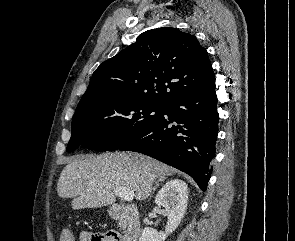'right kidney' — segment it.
<instances>
[{
  "label": "right kidney",
  "mask_w": 295,
  "mask_h": 241,
  "mask_svg": "<svg viewBox=\"0 0 295 241\" xmlns=\"http://www.w3.org/2000/svg\"><path fill=\"white\" fill-rule=\"evenodd\" d=\"M188 202L187 184L180 179L168 181L155 197V204L165 208L168 222L164 232H157L146 227L142 230L139 241H165L167 236L178 227L183 219Z\"/></svg>",
  "instance_id": "obj_1"
}]
</instances>
